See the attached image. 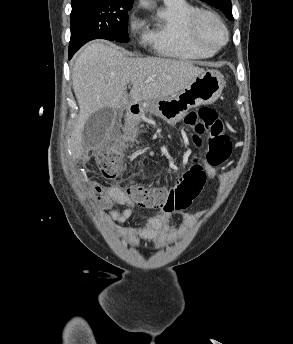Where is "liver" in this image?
I'll return each instance as SVG.
<instances>
[{
  "label": "liver",
  "instance_id": "6515ba94",
  "mask_svg": "<svg viewBox=\"0 0 293 344\" xmlns=\"http://www.w3.org/2000/svg\"><path fill=\"white\" fill-rule=\"evenodd\" d=\"M203 72L204 69L189 61L130 58L118 47L98 41L90 43L79 54L72 71L73 90L80 109L69 142L73 157L83 155L82 131L94 112L104 107L121 109L128 104V83L133 85L132 102H146L176 95Z\"/></svg>",
  "mask_w": 293,
  "mask_h": 344
}]
</instances>
